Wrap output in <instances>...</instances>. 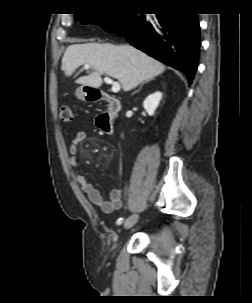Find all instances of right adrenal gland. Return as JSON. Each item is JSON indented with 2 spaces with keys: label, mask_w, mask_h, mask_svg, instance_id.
Instances as JSON below:
<instances>
[{
  "label": "right adrenal gland",
  "mask_w": 252,
  "mask_h": 303,
  "mask_svg": "<svg viewBox=\"0 0 252 303\" xmlns=\"http://www.w3.org/2000/svg\"><path fill=\"white\" fill-rule=\"evenodd\" d=\"M150 80H147V81H145L144 83H142V85L140 86V88H139V90L142 88V86L145 84V83H148ZM139 90H137V91H139ZM137 91H135L134 93H136ZM133 93V94H134Z\"/></svg>",
  "instance_id": "obj_1"
}]
</instances>
